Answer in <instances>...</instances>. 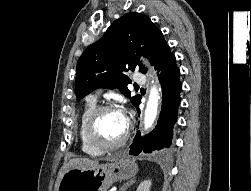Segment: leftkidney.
Segmentation results:
<instances>
[{"instance_id":"1","label":"left kidney","mask_w":251,"mask_h":191,"mask_svg":"<svg viewBox=\"0 0 251 191\" xmlns=\"http://www.w3.org/2000/svg\"><path fill=\"white\" fill-rule=\"evenodd\" d=\"M151 185L152 183L150 179H144V181H141V183H139L136 191H150Z\"/></svg>"}]
</instances>
